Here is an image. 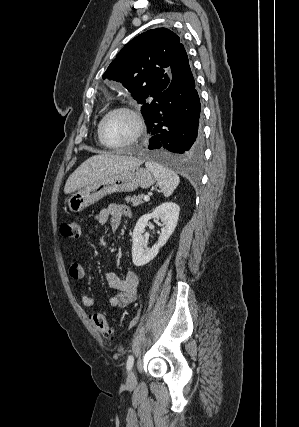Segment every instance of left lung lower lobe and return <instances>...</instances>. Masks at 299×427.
Wrapping results in <instances>:
<instances>
[{
	"label": "left lung lower lobe",
	"mask_w": 299,
	"mask_h": 427,
	"mask_svg": "<svg viewBox=\"0 0 299 427\" xmlns=\"http://www.w3.org/2000/svg\"><path fill=\"white\" fill-rule=\"evenodd\" d=\"M170 70L169 85L149 107L144 119L147 132L152 135L150 155L160 161L179 162L200 156L203 146L200 99L181 43Z\"/></svg>",
	"instance_id": "left-lung-lower-lobe-1"
}]
</instances>
